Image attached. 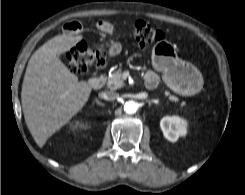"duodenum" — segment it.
<instances>
[{"label":"duodenum","instance_id":"410a0bca","mask_svg":"<svg viewBox=\"0 0 245 195\" xmlns=\"http://www.w3.org/2000/svg\"><path fill=\"white\" fill-rule=\"evenodd\" d=\"M104 82H105V77L103 75L94 76L88 80L89 86L95 89L102 87ZM147 86L149 88H155L157 84L152 83V84H147Z\"/></svg>","mask_w":245,"mask_h":195}]
</instances>
